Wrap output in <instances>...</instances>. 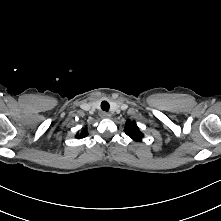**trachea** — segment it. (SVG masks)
I'll return each instance as SVG.
<instances>
[{"instance_id": "trachea-1", "label": "trachea", "mask_w": 221, "mask_h": 221, "mask_svg": "<svg viewBox=\"0 0 221 221\" xmlns=\"http://www.w3.org/2000/svg\"><path fill=\"white\" fill-rule=\"evenodd\" d=\"M109 108H110V105H109V103H108L107 101H103V102L101 103V109H102L103 111L108 112V111H109Z\"/></svg>"}]
</instances>
